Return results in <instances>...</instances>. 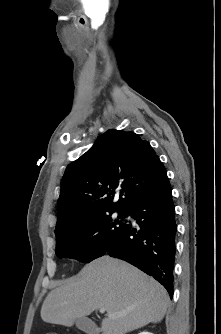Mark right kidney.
Listing matches in <instances>:
<instances>
[{"mask_svg":"<svg viewBox=\"0 0 221 334\" xmlns=\"http://www.w3.org/2000/svg\"><path fill=\"white\" fill-rule=\"evenodd\" d=\"M139 334H153V333H150V332H141Z\"/></svg>","mask_w":221,"mask_h":334,"instance_id":"1","label":"right kidney"}]
</instances>
